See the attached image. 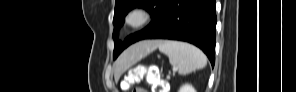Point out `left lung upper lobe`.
<instances>
[{"instance_id":"obj_1","label":"left lung upper lobe","mask_w":296,"mask_h":92,"mask_svg":"<svg viewBox=\"0 0 296 92\" xmlns=\"http://www.w3.org/2000/svg\"><path fill=\"white\" fill-rule=\"evenodd\" d=\"M169 1L170 0H116L113 19V24L115 25V48L113 52L114 59H116L117 56L130 44L144 39L146 35L152 33L161 26L165 18V9ZM134 7H144L146 10H148L151 14L152 21L145 29L130 35L123 43H121L117 39V30L123 25L126 14Z\"/></svg>"}]
</instances>
